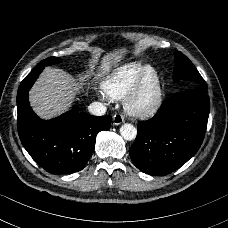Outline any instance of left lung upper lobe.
<instances>
[{
    "label": "left lung upper lobe",
    "instance_id": "obj_1",
    "mask_svg": "<svg viewBox=\"0 0 228 228\" xmlns=\"http://www.w3.org/2000/svg\"><path fill=\"white\" fill-rule=\"evenodd\" d=\"M174 82L184 81L186 88H203L207 87L206 82L201 77L192 62L181 52L175 53V67L173 72Z\"/></svg>",
    "mask_w": 228,
    "mask_h": 228
}]
</instances>
